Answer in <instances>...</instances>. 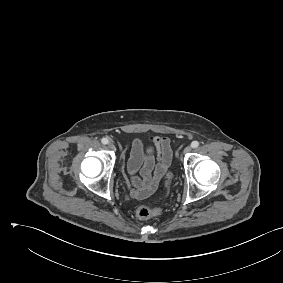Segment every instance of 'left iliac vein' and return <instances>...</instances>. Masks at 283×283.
<instances>
[{
  "instance_id": "4c4485c4",
  "label": "left iliac vein",
  "mask_w": 283,
  "mask_h": 283,
  "mask_svg": "<svg viewBox=\"0 0 283 283\" xmlns=\"http://www.w3.org/2000/svg\"><path fill=\"white\" fill-rule=\"evenodd\" d=\"M191 147L190 146H187L185 149H184V153L187 154L189 152H191Z\"/></svg>"
}]
</instances>
